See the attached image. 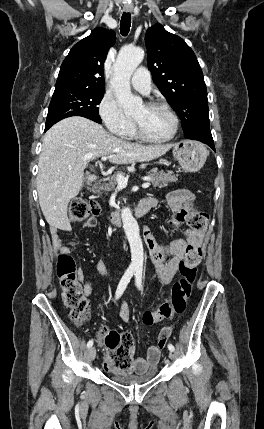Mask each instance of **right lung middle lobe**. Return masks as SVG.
<instances>
[{"label":"right lung middle lobe","mask_w":264,"mask_h":429,"mask_svg":"<svg viewBox=\"0 0 264 429\" xmlns=\"http://www.w3.org/2000/svg\"><path fill=\"white\" fill-rule=\"evenodd\" d=\"M104 90L65 88L55 90L52 96L45 130L70 116H82L101 123L99 108Z\"/></svg>","instance_id":"1"}]
</instances>
